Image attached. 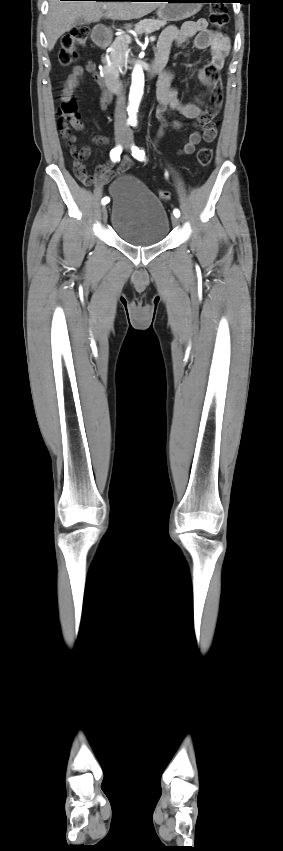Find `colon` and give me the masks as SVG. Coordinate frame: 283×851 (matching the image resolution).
I'll return each mask as SVG.
<instances>
[{"label":"colon","mask_w":283,"mask_h":851,"mask_svg":"<svg viewBox=\"0 0 283 851\" xmlns=\"http://www.w3.org/2000/svg\"><path fill=\"white\" fill-rule=\"evenodd\" d=\"M209 19L214 30L223 32L229 19L227 8L222 4H215L211 7ZM88 34L89 31L87 27L79 26L62 37L61 48L58 54V60L61 65L69 66L77 60L78 49L85 45L88 39ZM58 113L60 116L59 126L61 130L66 129L69 123L74 124L80 121V117L77 112V104L74 99L64 101L60 106ZM205 133L209 138H213L216 135V127L213 124L208 123L205 127ZM212 156L213 152L211 148L202 147L197 152V162L200 166L205 167L210 164ZM74 171L76 177L83 183H91L92 177L87 174L86 170L81 167H75ZM159 196L164 201L170 199V193L166 190H160Z\"/></svg>","instance_id":"obj_1"}]
</instances>
